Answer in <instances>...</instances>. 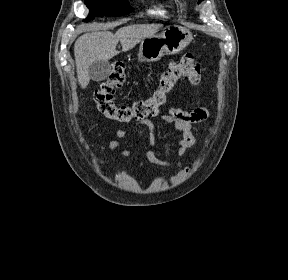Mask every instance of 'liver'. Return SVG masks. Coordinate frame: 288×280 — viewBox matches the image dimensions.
<instances>
[{
  "instance_id": "1",
  "label": "liver",
  "mask_w": 288,
  "mask_h": 280,
  "mask_svg": "<svg viewBox=\"0 0 288 280\" xmlns=\"http://www.w3.org/2000/svg\"><path fill=\"white\" fill-rule=\"evenodd\" d=\"M162 27L161 24L129 25L120 28L115 34L110 31H97L80 36L74 45V55L78 83L84 89L90 81L88 69L97 61H108L119 52L118 42L122 51H129L145 38L154 36Z\"/></svg>"
}]
</instances>
